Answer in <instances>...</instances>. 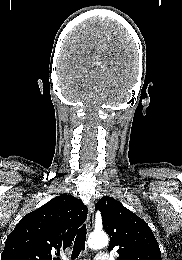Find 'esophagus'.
Here are the masks:
<instances>
[{"label":"esophagus","mask_w":182,"mask_h":260,"mask_svg":"<svg viewBox=\"0 0 182 260\" xmlns=\"http://www.w3.org/2000/svg\"><path fill=\"white\" fill-rule=\"evenodd\" d=\"M87 227L89 231L94 227V204L92 202L88 205Z\"/></svg>","instance_id":"1"}]
</instances>
